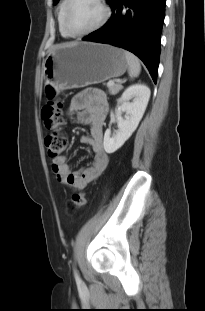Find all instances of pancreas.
<instances>
[{"label":"pancreas","mask_w":205,"mask_h":311,"mask_svg":"<svg viewBox=\"0 0 205 311\" xmlns=\"http://www.w3.org/2000/svg\"><path fill=\"white\" fill-rule=\"evenodd\" d=\"M108 92L111 95H116L123 87L121 84L109 85L107 84Z\"/></svg>","instance_id":"pancreas-1"}]
</instances>
